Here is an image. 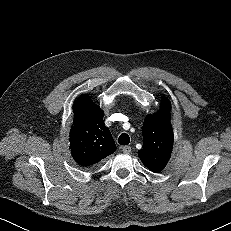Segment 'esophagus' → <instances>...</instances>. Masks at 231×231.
<instances>
[{
  "instance_id": "obj_1",
  "label": "esophagus",
  "mask_w": 231,
  "mask_h": 231,
  "mask_svg": "<svg viewBox=\"0 0 231 231\" xmlns=\"http://www.w3.org/2000/svg\"><path fill=\"white\" fill-rule=\"evenodd\" d=\"M122 151L124 154H130L131 153V147L130 146H124L122 148Z\"/></svg>"
}]
</instances>
